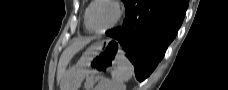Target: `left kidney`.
<instances>
[{"label":"left kidney","instance_id":"5707ae66","mask_svg":"<svg viewBox=\"0 0 228 90\" xmlns=\"http://www.w3.org/2000/svg\"><path fill=\"white\" fill-rule=\"evenodd\" d=\"M95 90H126V85L104 78L98 83Z\"/></svg>","mask_w":228,"mask_h":90}]
</instances>
